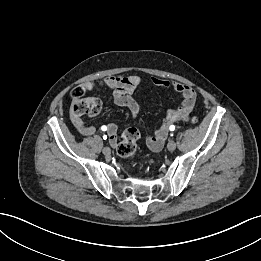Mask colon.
I'll return each mask as SVG.
<instances>
[{
	"instance_id": "5ec220e1",
	"label": "colon",
	"mask_w": 261,
	"mask_h": 261,
	"mask_svg": "<svg viewBox=\"0 0 261 261\" xmlns=\"http://www.w3.org/2000/svg\"><path fill=\"white\" fill-rule=\"evenodd\" d=\"M71 95L74 99H76V103L72 106L74 112L78 115H90L96 116L101 110V103L97 99H86L83 97V91L81 87H75L71 91ZM166 120L168 122H175L178 120H184L191 125L197 123V118L195 116H181L178 112L174 110H170L167 112ZM139 131L134 128L130 127L127 128L117 144L116 151L119 156L123 158L131 157L137 148V141L139 139Z\"/></svg>"
}]
</instances>
